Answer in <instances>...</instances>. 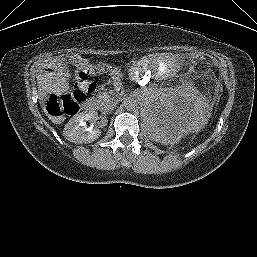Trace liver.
I'll list each match as a JSON object with an SVG mask.
<instances>
[{"mask_svg": "<svg viewBox=\"0 0 257 257\" xmlns=\"http://www.w3.org/2000/svg\"><path fill=\"white\" fill-rule=\"evenodd\" d=\"M47 66V64H42L39 68V74L37 75L39 99L43 108L47 93H50L51 91L56 89V81L58 79V73H48L44 70V68H46ZM49 119L56 124L62 121L61 118L54 116H49Z\"/></svg>", "mask_w": 257, "mask_h": 257, "instance_id": "obj_1", "label": "liver"}]
</instances>
